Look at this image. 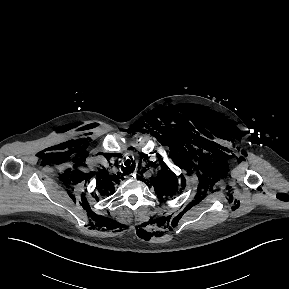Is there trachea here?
<instances>
[{
  "instance_id": "trachea-1",
  "label": "trachea",
  "mask_w": 289,
  "mask_h": 289,
  "mask_svg": "<svg viewBox=\"0 0 289 289\" xmlns=\"http://www.w3.org/2000/svg\"><path fill=\"white\" fill-rule=\"evenodd\" d=\"M124 164H125V167H123L124 173H132L134 171L135 164L134 162L132 163V159L131 160L127 159Z\"/></svg>"
}]
</instances>
